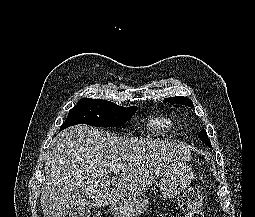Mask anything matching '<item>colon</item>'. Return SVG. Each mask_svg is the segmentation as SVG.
<instances>
[{
	"instance_id": "colon-1",
	"label": "colon",
	"mask_w": 255,
	"mask_h": 217,
	"mask_svg": "<svg viewBox=\"0 0 255 217\" xmlns=\"http://www.w3.org/2000/svg\"><path fill=\"white\" fill-rule=\"evenodd\" d=\"M202 193L198 188H189L179 199V206L185 212V217H202Z\"/></svg>"
}]
</instances>
